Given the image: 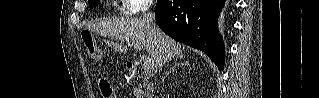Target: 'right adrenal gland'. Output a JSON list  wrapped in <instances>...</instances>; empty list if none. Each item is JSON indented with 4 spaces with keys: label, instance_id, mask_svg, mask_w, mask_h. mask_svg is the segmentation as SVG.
I'll use <instances>...</instances> for the list:
<instances>
[{
    "label": "right adrenal gland",
    "instance_id": "1",
    "mask_svg": "<svg viewBox=\"0 0 319 98\" xmlns=\"http://www.w3.org/2000/svg\"><path fill=\"white\" fill-rule=\"evenodd\" d=\"M177 59L179 60H184V56L183 54H181L180 56L176 57V61ZM189 65V62L188 61H185V62H182V63H177V62H174V66L170 68V70L166 73V75L163 77V81L165 80V78L170 74L171 71H174V69L176 67H179V66H188Z\"/></svg>",
    "mask_w": 319,
    "mask_h": 98
}]
</instances>
